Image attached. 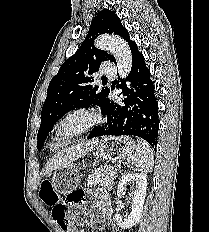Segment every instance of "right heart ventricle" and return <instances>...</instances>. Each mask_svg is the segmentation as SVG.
Returning <instances> with one entry per match:
<instances>
[{
  "mask_svg": "<svg viewBox=\"0 0 209 232\" xmlns=\"http://www.w3.org/2000/svg\"><path fill=\"white\" fill-rule=\"evenodd\" d=\"M53 145H54V150L60 149L63 145H64V141H62V139L57 138L53 141Z\"/></svg>",
  "mask_w": 209,
  "mask_h": 232,
  "instance_id": "e07e8e85",
  "label": "right heart ventricle"
}]
</instances>
